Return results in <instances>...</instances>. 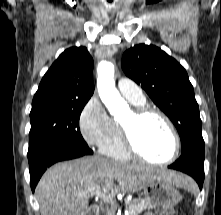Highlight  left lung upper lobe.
I'll return each instance as SVG.
<instances>
[{
  "mask_svg": "<svg viewBox=\"0 0 221 215\" xmlns=\"http://www.w3.org/2000/svg\"><path fill=\"white\" fill-rule=\"evenodd\" d=\"M122 69L176 126L181 153L205 148L193 86L180 63L154 45L138 44L123 54Z\"/></svg>",
  "mask_w": 221,
  "mask_h": 215,
  "instance_id": "left-lung-upper-lobe-1",
  "label": "left lung upper lobe"
}]
</instances>
